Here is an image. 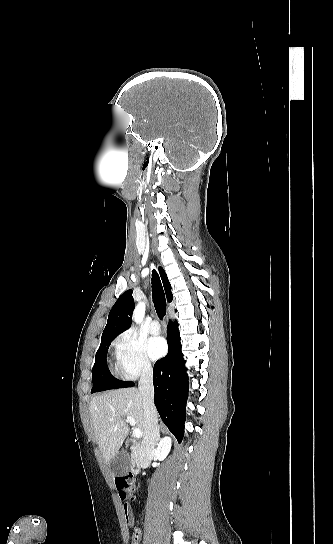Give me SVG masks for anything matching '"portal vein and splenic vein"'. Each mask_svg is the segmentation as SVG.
I'll use <instances>...</instances> for the list:
<instances>
[{
  "label": "portal vein and splenic vein",
  "mask_w": 333,
  "mask_h": 544,
  "mask_svg": "<svg viewBox=\"0 0 333 544\" xmlns=\"http://www.w3.org/2000/svg\"><path fill=\"white\" fill-rule=\"evenodd\" d=\"M126 420L129 422V424H130L131 426H135V419H134L133 417H131V416H126ZM142 435H143V433H142V430H141V429H139V428H134V429H133V436H134L135 438H138V439H139V438L142 437Z\"/></svg>",
  "instance_id": "portal-vein-and-splenic-vein-1"
}]
</instances>
